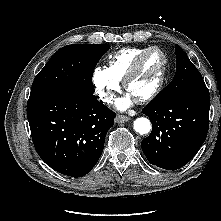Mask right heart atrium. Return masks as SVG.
Masks as SVG:
<instances>
[{
  "label": "right heart atrium",
  "instance_id": "d8ad5b80",
  "mask_svg": "<svg viewBox=\"0 0 221 221\" xmlns=\"http://www.w3.org/2000/svg\"><path fill=\"white\" fill-rule=\"evenodd\" d=\"M92 83L99 99L111 103L114 93L120 88V81L106 67H96L92 74Z\"/></svg>",
  "mask_w": 221,
  "mask_h": 221
}]
</instances>
